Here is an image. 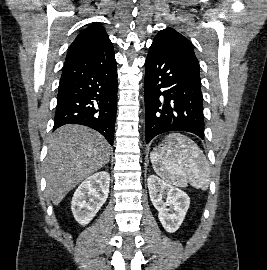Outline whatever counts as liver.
<instances>
[{
    "instance_id": "1",
    "label": "liver",
    "mask_w": 267,
    "mask_h": 270,
    "mask_svg": "<svg viewBox=\"0 0 267 270\" xmlns=\"http://www.w3.org/2000/svg\"><path fill=\"white\" fill-rule=\"evenodd\" d=\"M111 147L98 132L80 125H65L51 136L45 160L47 193L58 205L82 180L105 166Z\"/></svg>"
}]
</instances>
